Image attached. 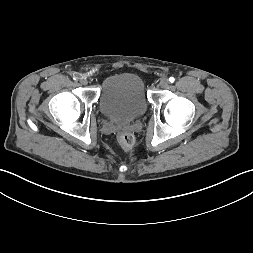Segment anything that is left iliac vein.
<instances>
[{
  "label": "left iliac vein",
  "mask_w": 253,
  "mask_h": 253,
  "mask_svg": "<svg viewBox=\"0 0 253 253\" xmlns=\"http://www.w3.org/2000/svg\"><path fill=\"white\" fill-rule=\"evenodd\" d=\"M159 85H160V87H162V88H167L168 85H169L168 79H166V78L161 79Z\"/></svg>",
  "instance_id": "1"
}]
</instances>
